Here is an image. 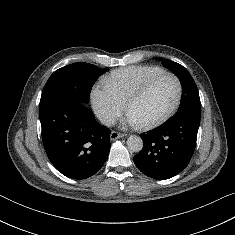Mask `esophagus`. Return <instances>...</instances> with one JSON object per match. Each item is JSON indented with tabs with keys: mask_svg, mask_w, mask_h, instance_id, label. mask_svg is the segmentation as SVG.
I'll list each match as a JSON object with an SVG mask.
<instances>
[{
	"mask_svg": "<svg viewBox=\"0 0 235 235\" xmlns=\"http://www.w3.org/2000/svg\"><path fill=\"white\" fill-rule=\"evenodd\" d=\"M125 134L123 133H119V132H116V131H112L111 134H110V139L112 141L116 140V139H119V138H122L124 137Z\"/></svg>",
	"mask_w": 235,
	"mask_h": 235,
	"instance_id": "1",
	"label": "esophagus"
}]
</instances>
